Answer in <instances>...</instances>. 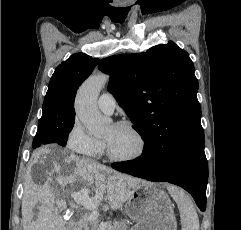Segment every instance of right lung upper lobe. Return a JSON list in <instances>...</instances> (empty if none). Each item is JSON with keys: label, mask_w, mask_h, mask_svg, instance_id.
I'll use <instances>...</instances> for the list:
<instances>
[{"label": "right lung upper lobe", "mask_w": 241, "mask_h": 230, "mask_svg": "<svg viewBox=\"0 0 241 230\" xmlns=\"http://www.w3.org/2000/svg\"><path fill=\"white\" fill-rule=\"evenodd\" d=\"M99 59L76 53L62 62L53 73L43 102L44 116L58 120L75 118L73 101L78 87L91 74Z\"/></svg>", "instance_id": "cb5924a9"}]
</instances>
